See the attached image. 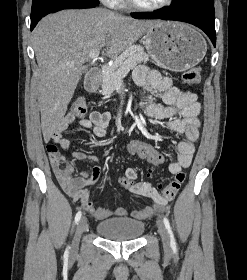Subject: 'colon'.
I'll list each match as a JSON object with an SVG mask.
<instances>
[{
  "label": "colon",
  "instance_id": "1",
  "mask_svg": "<svg viewBox=\"0 0 247 280\" xmlns=\"http://www.w3.org/2000/svg\"><path fill=\"white\" fill-rule=\"evenodd\" d=\"M201 68L196 66L186 70L183 73V81L187 85H196L200 82ZM87 112V103L85 99L78 98L71 105V113L75 116H84ZM126 150L129 154L138 156L151 162L154 165H159L164 161L162 155L158 153V149L152 143H147L145 139H139L138 136H131L129 142L126 144ZM47 152L53 168L54 173L60 178H69L73 175L74 168L67 161V159L59 152L54 145L47 146ZM185 175L183 172H178L173 179L162 188V196L170 201L176 196ZM117 183L124 188H131L133 181L127 176H119Z\"/></svg>",
  "mask_w": 247,
  "mask_h": 280
}]
</instances>
